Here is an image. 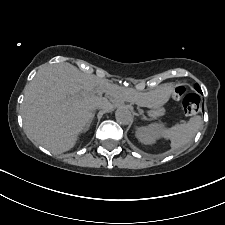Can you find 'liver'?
<instances>
[{
  "mask_svg": "<svg viewBox=\"0 0 225 225\" xmlns=\"http://www.w3.org/2000/svg\"><path fill=\"white\" fill-rule=\"evenodd\" d=\"M83 90L92 95L75 97ZM102 93H106L111 102L144 106L143 94L83 73L69 63L40 68L25 87L22 118L27 137L54 154L69 151L91 121L95 106L112 107Z\"/></svg>",
  "mask_w": 225,
  "mask_h": 225,
  "instance_id": "6515ba94",
  "label": "liver"
}]
</instances>
